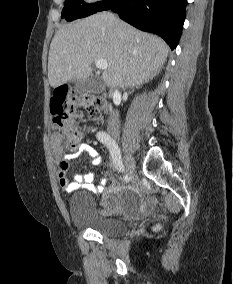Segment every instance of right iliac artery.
<instances>
[{"mask_svg":"<svg viewBox=\"0 0 233 284\" xmlns=\"http://www.w3.org/2000/svg\"><path fill=\"white\" fill-rule=\"evenodd\" d=\"M97 139L104 144L108 150L110 151L113 164L120 172H124V166L121 160L120 149L116 144L115 140H113L108 133L105 131H99L97 133Z\"/></svg>","mask_w":233,"mask_h":284,"instance_id":"82829eb1","label":"right iliac artery"}]
</instances>
